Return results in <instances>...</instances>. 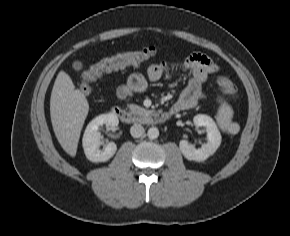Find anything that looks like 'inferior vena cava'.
I'll return each instance as SVG.
<instances>
[{"label":"inferior vena cava","instance_id":"1","mask_svg":"<svg viewBox=\"0 0 290 236\" xmlns=\"http://www.w3.org/2000/svg\"><path fill=\"white\" fill-rule=\"evenodd\" d=\"M130 133L133 137L139 138L144 134V128L140 124H134L130 128Z\"/></svg>","mask_w":290,"mask_h":236}]
</instances>
